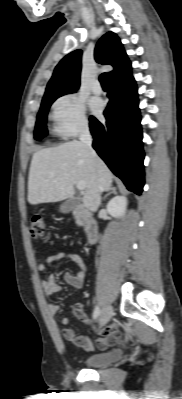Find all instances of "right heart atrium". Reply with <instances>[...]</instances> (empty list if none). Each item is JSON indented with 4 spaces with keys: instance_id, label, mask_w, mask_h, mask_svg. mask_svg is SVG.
Wrapping results in <instances>:
<instances>
[{
    "instance_id": "right-heart-atrium-1",
    "label": "right heart atrium",
    "mask_w": 182,
    "mask_h": 399,
    "mask_svg": "<svg viewBox=\"0 0 182 399\" xmlns=\"http://www.w3.org/2000/svg\"><path fill=\"white\" fill-rule=\"evenodd\" d=\"M53 132L60 138H69L88 128L84 99L71 92L59 97L52 105Z\"/></svg>"
}]
</instances>
